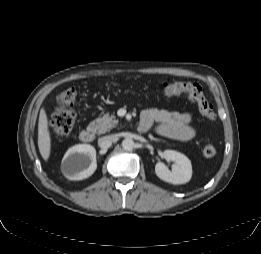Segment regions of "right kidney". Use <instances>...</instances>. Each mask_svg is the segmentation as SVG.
I'll return each instance as SVG.
<instances>
[{"mask_svg": "<svg viewBox=\"0 0 261 254\" xmlns=\"http://www.w3.org/2000/svg\"><path fill=\"white\" fill-rule=\"evenodd\" d=\"M96 168V150L90 144H77L69 148L61 165L64 176L69 180L86 179Z\"/></svg>", "mask_w": 261, "mask_h": 254, "instance_id": "ca27d5eb", "label": "right kidney"}]
</instances>
